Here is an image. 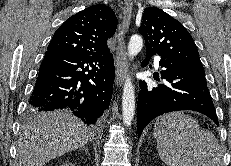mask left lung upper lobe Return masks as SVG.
Segmentation results:
<instances>
[{
	"label": "left lung upper lobe",
	"instance_id": "1",
	"mask_svg": "<svg viewBox=\"0 0 231 166\" xmlns=\"http://www.w3.org/2000/svg\"><path fill=\"white\" fill-rule=\"evenodd\" d=\"M139 33L146 50L181 65L202 66L197 47L187 29L157 7L144 9Z\"/></svg>",
	"mask_w": 231,
	"mask_h": 166
}]
</instances>
